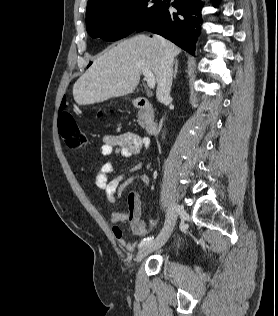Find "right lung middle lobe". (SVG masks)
Segmentation results:
<instances>
[{
	"label": "right lung middle lobe",
	"instance_id": "obj_1",
	"mask_svg": "<svg viewBox=\"0 0 278 316\" xmlns=\"http://www.w3.org/2000/svg\"><path fill=\"white\" fill-rule=\"evenodd\" d=\"M161 0H110L86 12V29L93 38L115 41L146 22Z\"/></svg>",
	"mask_w": 278,
	"mask_h": 316
}]
</instances>
